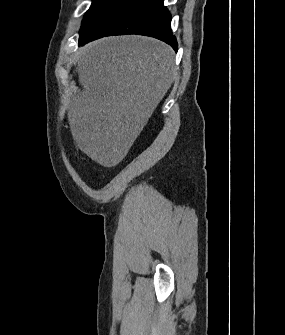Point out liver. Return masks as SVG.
Returning a JSON list of instances; mask_svg holds the SVG:
<instances>
[{
  "mask_svg": "<svg viewBox=\"0 0 285 335\" xmlns=\"http://www.w3.org/2000/svg\"><path fill=\"white\" fill-rule=\"evenodd\" d=\"M79 52V82L85 90L68 112L71 134L88 158L113 168L167 94L174 52L144 36H111Z\"/></svg>",
  "mask_w": 285,
  "mask_h": 335,
  "instance_id": "liver-1",
  "label": "liver"
}]
</instances>
